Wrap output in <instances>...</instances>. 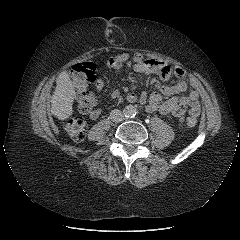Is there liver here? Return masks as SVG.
<instances>
[{
  "mask_svg": "<svg viewBox=\"0 0 240 240\" xmlns=\"http://www.w3.org/2000/svg\"><path fill=\"white\" fill-rule=\"evenodd\" d=\"M75 89L66 71L60 73L51 98V113L59 120L67 119L73 112Z\"/></svg>",
  "mask_w": 240,
  "mask_h": 240,
  "instance_id": "obj_1",
  "label": "liver"
}]
</instances>
